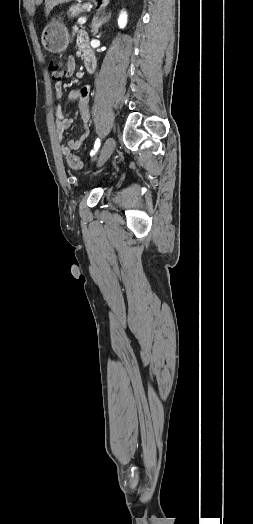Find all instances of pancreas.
I'll return each instance as SVG.
<instances>
[{
    "label": "pancreas",
    "mask_w": 253,
    "mask_h": 524,
    "mask_svg": "<svg viewBox=\"0 0 253 524\" xmlns=\"http://www.w3.org/2000/svg\"><path fill=\"white\" fill-rule=\"evenodd\" d=\"M87 8H88V4L77 3V4H74V5L70 6V8L68 10V14L71 17H76V16L80 15L81 13H83Z\"/></svg>",
    "instance_id": "pancreas-1"
}]
</instances>
